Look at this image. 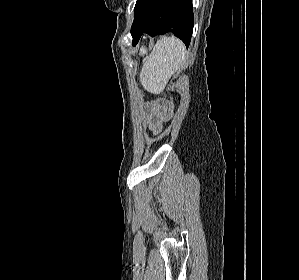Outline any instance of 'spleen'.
I'll return each mask as SVG.
<instances>
[{
  "instance_id": "spleen-1",
  "label": "spleen",
  "mask_w": 299,
  "mask_h": 280,
  "mask_svg": "<svg viewBox=\"0 0 299 280\" xmlns=\"http://www.w3.org/2000/svg\"><path fill=\"white\" fill-rule=\"evenodd\" d=\"M185 45L176 37H163L154 46L143 65L140 81L154 94L161 93L174 72L184 63Z\"/></svg>"
}]
</instances>
